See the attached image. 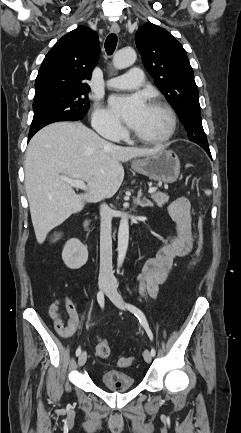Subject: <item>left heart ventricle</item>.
I'll return each mask as SVG.
<instances>
[{
  "label": "left heart ventricle",
  "mask_w": 241,
  "mask_h": 433,
  "mask_svg": "<svg viewBox=\"0 0 241 433\" xmlns=\"http://www.w3.org/2000/svg\"><path fill=\"white\" fill-rule=\"evenodd\" d=\"M169 126L167 113L160 108L149 106L146 115L134 131L146 137H160L168 131Z\"/></svg>",
  "instance_id": "left-heart-ventricle-1"
}]
</instances>
